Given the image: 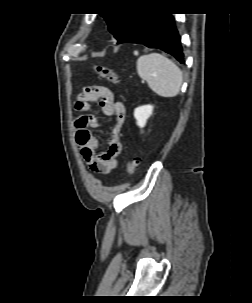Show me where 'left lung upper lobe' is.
Here are the masks:
<instances>
[{
	"label": "left lung upper lobe",
	"mask_w": 252,
	"mask_h": 303,
	"mask_svg": "<svg viewBox=\"0 0 252 303\" xmlns=\"http://www.w3.org/2000/svg\"><path fill=\"white\" fill-rule=\"evenodd\" d=\"M146 13L101 14L108 24L109 31L119 42L139 23Z\"/></svg>",
	"instance_id": "obj_1"
}]
</instances>
